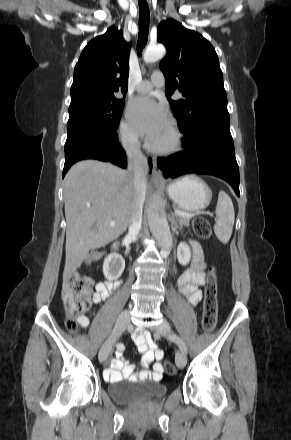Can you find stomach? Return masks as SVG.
I'll use <instances>...</instances> for the list:
<instances>
[{
  "instance_id": "1",
  "label": "stomach",
  "mask_w": 291,
  "mask_h": 440,
  "mask_svg": "<svg viewBox=\"0 0 291 440\" xmlns=\"http://www.w3.org/2000/svg\"><path fill=\"white\" fill-rule=\"evenodd\" d=\"M169 197L184 211L195 212L206 208L212 199V191L199 177L191 175L167 186Z\"/></svg>"
}]
</instances>
